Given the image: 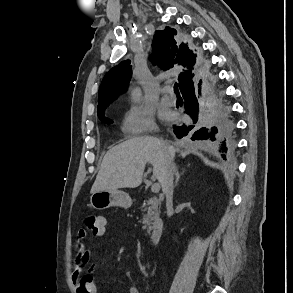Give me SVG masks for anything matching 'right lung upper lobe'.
Segmentation results:
<instances>
[{"mask_svg":"<svg viewBox=\"0 0 293 293\" xmlns=\"http://www.w3.org/2000/svg\"><path fill=\"white\" fill-rule=\"evenodd\" d=\"M175 29L167 27L165 30H158L154 35L153 47L157 53L153 61L161 68L167 70L175 64H180L185 69L179 74L180 90L194 78L193 66L195 55L188 46L176 44L174 35ZM132 71L130 61H124L111 69L103 78L98 94V116H104L105 109L119 94L124 92L131 79Z\"/></svg>","mask_w":293,"mask_h":293,"instance_id":"obj_1","label":"right lung upper lobe"}]
</instances>
